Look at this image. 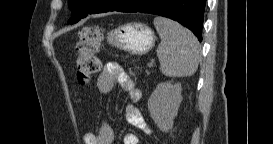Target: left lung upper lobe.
I'll list each match as a JSON object with an SVG mask.
<instances>
[{
	"mask_svg": "<svg viewBox=\"0 0 273 144\" xmlns=\"http://www.w3.org/2000/svg\"><path fill=\"white\" fill-rule=\"evenodd\" d=\"M97 0H69V9L72 12V17L77 18L87 14L95 8Z\"/></svg>",
	"mask_w": 273,
	"mask_h": 144,
	"instance_id": "obj_1",
	"label": "left lung upper lobe"
}]
</instances>
